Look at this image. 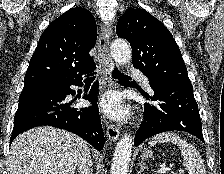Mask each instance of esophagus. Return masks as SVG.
Segmentation results:
<instances>
[{
	"instance_id": "34e87169",
	"label": "esophagus",
	"mask_w": 224,
	"mask_h": 174,
	"mask_svg": "<svg viewBox=\"0 0 224 174\" xmlns=\"http://www.w3.org/2000/svg\"><path fill=\"white\" fill-rule=\"evenodd\" d=\"M112 27V22L106 23L102 26L99 37L98 50L102 65L104 67L108 86L110 88H116V84L112 81L111 78V73L114 70V62L109 53V39L112 33ZM106 134L110 141L115 142L119 138L120 130L118 127L108 122L106 124Z\"/></svg>"
}]
</instances>
